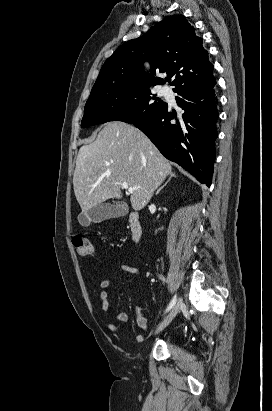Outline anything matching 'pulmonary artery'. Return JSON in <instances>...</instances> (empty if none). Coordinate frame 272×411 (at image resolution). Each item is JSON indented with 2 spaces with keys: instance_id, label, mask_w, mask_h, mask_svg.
I'll return each mask as SVG.
<instances>
[{
  "instance_id": "obj_1",
  "label": "pulmonary artery",
  "mask_w": 272,
  "mask_h": 411,
  "mask_svg": "<svg viewBox=\"0 0 272 411\" xmlns=\"http://www.w3.org/2000/svg\"><path fill=\"white\" fill-rule=\"evenodd\" d=\"M162 92H163V94L164 95H169V90L167 89V88H164L163 90H162Z\"/></svg>"
}]
</instances>
